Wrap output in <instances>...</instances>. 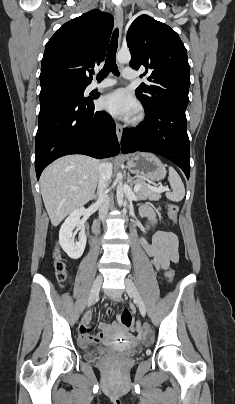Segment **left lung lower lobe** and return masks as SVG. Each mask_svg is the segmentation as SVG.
Returning <instances> with one entry per match:
<instances>
[{
    "label": "left lung lower lobe",
    "mask_w": 235,
    "mask_h": 404,
    "mask_svg": "<svg viewBox=\"0 0 235 404\" xmlns=\"http://www.w3.org/2000/svg\"><path fill=\"white\" fill-rule=\"evenodd\" d=\"M186 108L162 105L146 111L144 121L137 127L124 129L122 153L136 151L161 155L190 175V146L186 130Z\"/></svg>",
    "instance_id": "left-lung-lower-lobe-1"
}]
</instances>
